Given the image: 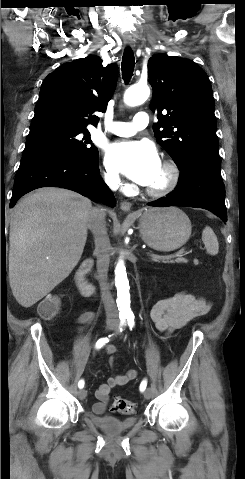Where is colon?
Wrapping results in <instances>:
<instances>
[{
  "instance_id": "1",
  "label": "colon",
  "mask_w": 245,
  "mask_h": 479,
  "mask_svg": "<svg viewBox=\"0 0 245 479\" xmlns=\"http://www.w3.org/2000/svg\"><path fill=\"white\" fill-rule=\"evenodd\" d=\"M60 308V297L56 294H51L41 301L38 311L42 318L51 320L59 313ZM113 408L121 414H131L136 411V404L128 399L115 397L113 400Z\"/></svg>"
}]
</instances>
